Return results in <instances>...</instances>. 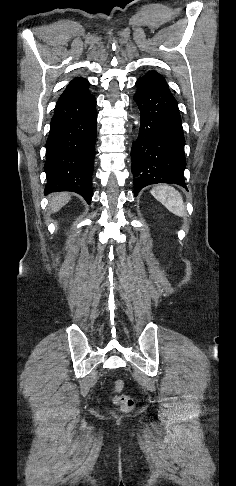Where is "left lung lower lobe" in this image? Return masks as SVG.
<instances>
[{"mask_svg": "<svg viewBox=\"0 0 236 486\" xmlns=\"http://www.w3.org/2000/svg\"><path fill=\"white\" fill-rule=\"evenodd\" d=\"M133 99L140 110L138 138L132 145L134 195L150 184L174 183L186 188L185 138L178 104L164 84L141 77Z\"/></svg>", "mask_w": 236, "mask_h": 486, "instance_id": "obj_1", "label": "left lung lower lobe"}]
</instances>
